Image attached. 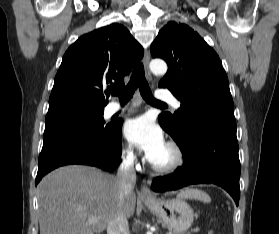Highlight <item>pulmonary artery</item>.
Instances as JSON below:
<instances>
[{"label":"pulmonary artery","instance_id":"e3ab8cb5","mask_svg":"<svg viewBox=\"0 0 279 234\" xmlns=\"http://www.w3.org/2000/svg\"><path fill=\"white\" fill-rule=\"evenodd\" d=\"M157 99L160 101H168L174 108L180 107V101L177 100L172 94L166 93L163 90H158ZM128 106H121L118 103H111L107 106L106 112L108 115H113L121 111L127 110Z\"/></svg>","mask_w":279,"mask_h":234}]
</instances>
